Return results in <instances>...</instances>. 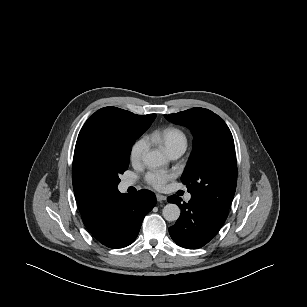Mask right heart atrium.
<instances>
[{"label": "right heart atrium", "mask_w": 307, "mask_h": 307, "mask_svg": "<svg viewBox=\"0 0 307 307\" xmlns=\"http://www.w3.org/2000/svg\"><path fill=\"white\" fill-rule=\"evenodd\" d=\"M148 149V140L140 138L134 142L130 150V160L133 163L140 162Z\"/></svg>", "instance_id": "d8ad5b80"}]
</instances>
